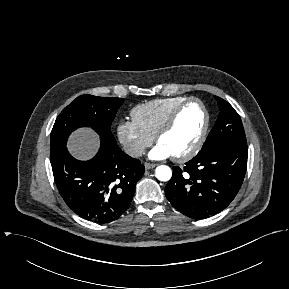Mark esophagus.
I'll list each match as a JSON object with an SVG mask.
<instances>
[{"instance_id": "1", "label": "esophagus", "mask_w": 289, "mask_h": 289, "mask_svg": "<svg viewBox=\"0 0 289 289\" xmlns=\"http://www.w3.org/2000/svg\"><path fill=\"white\" fill-rule=\"evenodd\" d=\"M144 166H145V169L149 170V169H152V168L156 167V164H154V163H145Z\"/></svg>"}]
</instances>
